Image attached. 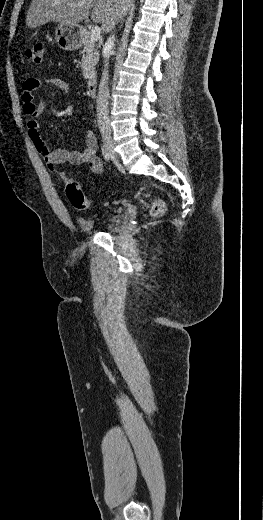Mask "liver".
I'll use <instances>...</instances> for the list:
<instances>
[{
	"label": "liver",
	"mask_w": 263,
	"mask_h": 520,
	"mask_svg": "<svg viewBox=\"0 0 263 520\" xmlns=\"http://www.w3.org/2000/svg\"><path fill=\"white\" fill-rule=\"evenodd\" d=\"M81 4V5H79ZM130 0H33L26 16V25L36 28L49 21L78 24L91 16L109 32L128 10Z\"/></svg>",
	"instance_id": "obj_1"
}]
</instances>
